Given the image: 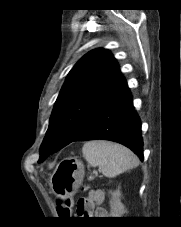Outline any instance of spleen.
Wrapping results in <instances>:
<instances>
[{
	"instance_id": "1",
	"label": "spleen",
	"mask_w": 181,
	"mask_h": 227,
	"mask_svg": "<svg viewBox=\"0 0 181 227\" xmlns=\"http://www.w3.org/2000/svg\"><path fill=\"white\" fill-rule=\"evenodd\" d=\"M82 154L90 166H98L108 178H114L139 165V159L131 150L104 140L86 142Z\"/></svg>"
}]
</instances>
